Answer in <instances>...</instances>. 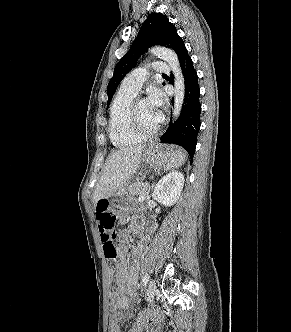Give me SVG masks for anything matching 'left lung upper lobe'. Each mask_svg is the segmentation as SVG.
Wrapping results in <instances>:
<instances>
[{"label": "left lung upper lobe", "instance_id": "1", "mask_svg": "<svg viewBox=\"0 0 291 332\" xmlns=\"http://www.w3.org/2000/svg\"><path fill=\"white\" fill-rule=\"evenodd\" d=\"M161 45L173 49L178 57L185 45L177 34L176 27L169 22L167 16L161 13H151L140 28V31L131 45L130 50L117 63L112 79L108 84V104L118 85L125 75L135 66L141 54L147 52L148 47Z\"/></svg>", "mask_w": 291, "mask_h": 332}]
</instances>
